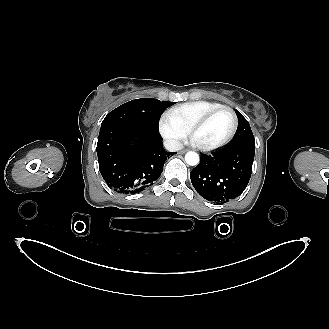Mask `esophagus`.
Instances as JSON below:
<instances>
[{"label":"esophagus","mask_w":329,"mask_h":329,"mask_svg":"<svg viewBox=\"0 0 329 329\" xmlns=\"http://www.w3.org/2000/svg\"><path fill=\"white\" fill-rule=\"evenodd\" d=\"M187 152V149H183V150H181L179 153L180 154H184V153H186Z\"/></svg>","instance_id":"1"}]
</instances>
